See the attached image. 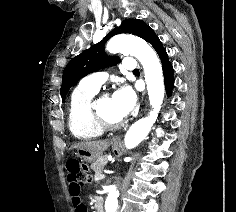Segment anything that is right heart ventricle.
<instances>
[{"instance_id": "1", "label": "right heart ventricle", "mask_w": 236, "mask_h": 212, "mask_svg": "<svg viewBox=\"0 0 236 212\" xmlns=\"http://www.w3.org/2000/svg\"><path fill=\"white\" fill-rule=\"evenodd\" d=\"M98 89L82 82L73 90L68 107V123L72 134L82 140L94 139L104 133L92 110V99Z\"/></svg>"}]
</instances>
